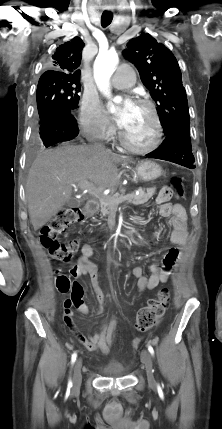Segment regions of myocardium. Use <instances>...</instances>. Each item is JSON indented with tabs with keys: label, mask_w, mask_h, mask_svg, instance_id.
<instances>
[{
	"label": "myocardium",
	"mask_w": 222,
	"mask_h": 429,
	"mask_svg": "<svg viewBox=\"0 0 222 429\" xmlns=\"http://www.w3.org/2000/svg\"><path fill=\"white\" fill-rule=\"evenodd\" d=\"M136 103L145 106L151 115L154 126L153 140L146 146H137L129 141L123 130L119 132V139L127 150L137 154H146L156 150L160 146L163 137V126L158 111L152 101L146 98H138Z\"/></svg>",
	"instance_id": "f54148a6"
}]
</instances>
